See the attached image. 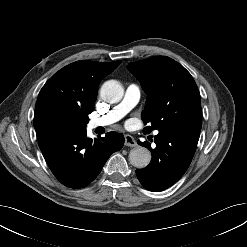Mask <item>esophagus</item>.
Returning a JSON list of instances; mask_svg holds the SVG:
<instances>
[{"label": "esophagus", "instance_id": "esophagus-1", "mask_svg": "<svg viewBox=\"0 0 247 247\" xmlns=\"http://www.w3.org/2000/svg\"><path fill=\"white\" fill-rule=\"evenodd\" d=\"M125 145L128 147H136L137 142L131 135H125Z\"/></svg>", "mask_w": 247, "mask_h": 247}]
</instances>
